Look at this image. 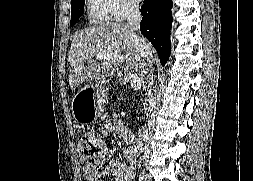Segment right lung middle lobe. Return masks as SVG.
<instances>
[{
  "label": "right lung middle lobe",
  "mask_w": 253,
  "mask_h": 181,
  "mask_svg": "<svg viewBox=\"0 0 253 181\" xmlns=\"http://www.w3.org/2000/svg\"><path fill=\"white\" fill-rule=\"evenodd\" d=\"M84 11V1L83 0H71V21L70 25H74Z\"/></svg>",
  "instance_id": "right-lung-middle-lobe-1"
}]
</instances>
